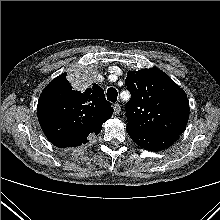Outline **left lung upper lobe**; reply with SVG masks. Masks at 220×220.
<instances>
[{"label": "left lung upper lobe", "instance_id": "1", "mask_svg": "<svg viewBox=\"0 0 220 220\" xmlns=\"http://www.w3.org/2000/svg\"><path fill=\"white\" fill-rule=\"evenodd\" d=\"M125 84L131 92L126 127L160 136L183 133L189 102L185 92L167 74L157 68L129 71Z\"/></svg>", "mask_w": 220, "mask_h": 220}]
</instances>
